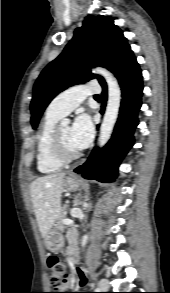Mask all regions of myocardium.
<instances>
[{
    "instance_id": "obj_1",
    "label": "myocardium",
    "mask_w": 170,
    "mask_h": 293,
    "mask_svg": "<svg viewBox=\"0 0 170 293\" xmlns=\"http://www.w3.org/2000/svg\"><path fill=\"white\" fill-rule=\"evenodd\" d=\"M58 130L59 127H55L51 133L50 150L53 157L63 163L74 161L80 156V152L78 150L72 153L65 152L59 139Z\"/></svg>"
}]
</instances>
